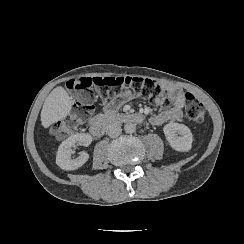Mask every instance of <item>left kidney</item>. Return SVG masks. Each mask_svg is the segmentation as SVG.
Returning <instances> with one entry per match:
<instances>
[{"label":"left kidney","instance_id":"5707ae66","mask_svg":"<svg viewBox=\"0 0 244 244\" xmlns=\"http://www.w3.org/2000/svg\"><path fill=\"white\" fill-rule=\"evenodd\" d=\"M170 146L182 152H187L192 147L193 136L190 129L184 124L170 122L163 128Z\"/></svg>","mask_w":244,"mask_h":244}]
</instances>
